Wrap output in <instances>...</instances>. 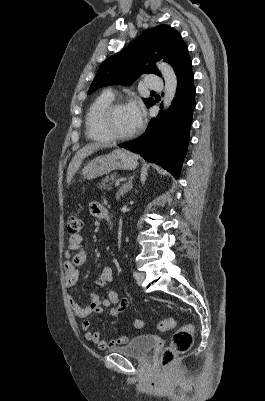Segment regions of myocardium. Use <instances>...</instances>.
I'll list each match as a JSON object with an SVG mask.
<instances>
[{"label":"myocardium","instance_id":"myocardium-1","mask_svg":"<svg viewBox=\"0 0 265 401\" xmlns=\"http://www.w3.org/2000/svg\"><path fill=\"white\" fill-rule=\"evenodd\" d=\"M127 103L123 100H117L110 103L107 107H105L99 115L98 118V127L99 130L105 135L107 141H118V140H128L132 138L136 132L137 128H135L131 133L126 135H116L111 131L110 128V118L117 108L126 106Z\"/></svg>","mask_w":265,"mask_h":401}]
</instances>
